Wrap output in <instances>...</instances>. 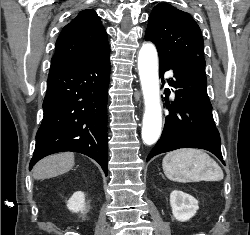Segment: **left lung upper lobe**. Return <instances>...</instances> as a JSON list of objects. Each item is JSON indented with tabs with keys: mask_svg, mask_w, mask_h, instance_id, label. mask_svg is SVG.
<instances>
[{
	"mask_svg": "<svg viewBox=\"0 0 250 235\" xmlns=\"http://www.w3.org/2000/svg\"><path fill=\"white\" fill-rule=\"evenodd\" d=\"M145 40L156 45L159 57L181 59L199 56L205 61L199 26L189 13L170 4L160 3L153 8Z\"/></svg>",
	"mask_w": 250,
	"mask_h": 235,
	"instance_id": "5c2ea615",
	"label": "left lung upper lobe"
}]
</instances>
